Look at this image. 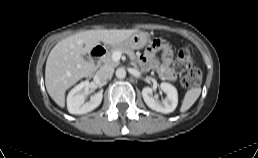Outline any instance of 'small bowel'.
<instances>
[{"label": "small bowel", "instance_id": "small-bowel-1", "mask_svg": "<svg viewBox=\"0 0 258 158\" xmlns=\"http://www.w3.org/2000/svg\"><path fill=\"white\" fill-rule=\"evenodd\" d=\"M162 49V60L156 57V51ZM173 60V53L171 48L160 42L158 45L152 43L151 46L145 51L144 55L139 58V62L144 69H154L158 75L167 81H173L176 78V73L171 64Z\"/></svg>", "mask_w": 258, "mask_h": 158}]
</instances>
